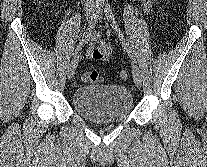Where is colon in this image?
I'll return each instance as SVG.
<instances>
[{
    "label": "colon",
    "mask_w": 207,
    "mask_h": 167,
    "mask_svg": "<svg viewBox=\"0 0 207 167\" xmlns=\"http://www.w3.org/2000/svg\"><path fill=\"white\" fill-rule=\"evenodd\" d=\"M118 77L119 79L126 81L129 78V72L125 69H122L118 72ZM81 78L83 81L92 82V83L103 81V78L95 70L83 73Z\"/></svg>",
    "instance_id": "1"
}]
</instances>
